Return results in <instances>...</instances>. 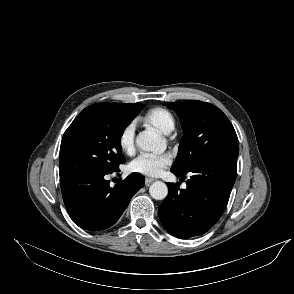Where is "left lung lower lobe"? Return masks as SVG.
I'll list each match as a JSON object with an SVG mask.
<instances>
[{
	"label": "left lung lower lobe",
	"instance_id": "0a47b994",
	"mask_svg": "<svg viewBox=\"0 0 294 294\" xmlns=\"http://www.w3.org/2000/svg\"><path fill=\"white\" fill-rule=\"evenodd\" d=\"M238 151L231 146L208 157L190 171L186 189L167 183L169 193L158 212L170 234L181 239L202 235L219 220L236 179Z\"/></svg>",
	"mask_w": 294,
	"mask_h": 294
}]
</instances>
